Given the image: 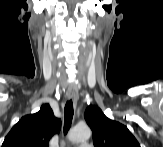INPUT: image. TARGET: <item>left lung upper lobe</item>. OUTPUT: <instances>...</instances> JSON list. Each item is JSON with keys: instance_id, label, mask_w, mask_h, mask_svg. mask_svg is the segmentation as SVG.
<instances>
[{"instance_id": "left-lung-upper-lobe-1", "label": "left lung upper lobe", "mask_w": 163, "mask_h": 147, "mask_svg": "<svg viewBox=\"0 0 163 147\" xmlns=\"http://www.w3.org/2000/svg\"><path fill=\"white\" fill-rule=\"evenodd\" d=\"M85 120L92 129L95 147H140L125 125L107 118L97 106L87 107Z\"/></svg>"}]
</instances>
